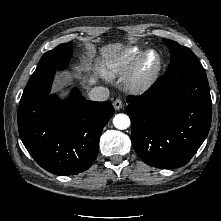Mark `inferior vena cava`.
Wrapping results in <instances>:
<instances>
[{
	"mask_svg": "<svg viewBox=\"0 0 221 221\" xmlns=\"http://www.w3.org/2000/svg\"><path fill=\"white\" fill-rule=\"evenodd\" d=\"M88 97L92 101H106L109 97V89L103 86H95L89 91Z\"/></svg>",
	"mask_w": 221,
	"mask_h": 221,
	"instance_id": "602c4592",
	"label": "inferior vena cava"
}]
</instances>
